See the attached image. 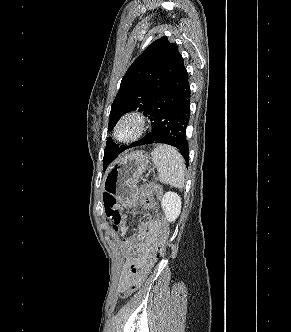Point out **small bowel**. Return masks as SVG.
Wrapping results in <instances>:
<instances>
[{
    "label": "small bowel",
    "instance_id": "small-bowel-1",
    "mask_svg": "<svg viewBox=\"0 0 291 332\" xmlns=\"http://www.w3.org/2000/svg\"><path fill=\"white\" fill-rule=\"evenodd\" d=\"M128 232V226L122 225V233ZM161 223L156 219L142 223L136 232L124 241L129 257L124 270L122 287L126 288L132 278L133 270L141 267L150 257L155 244L159 240Z\"/></svg>",
    "mask_w": 291,
    "mask_h": 332
}]
</instances>
